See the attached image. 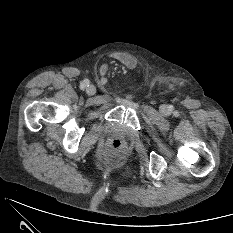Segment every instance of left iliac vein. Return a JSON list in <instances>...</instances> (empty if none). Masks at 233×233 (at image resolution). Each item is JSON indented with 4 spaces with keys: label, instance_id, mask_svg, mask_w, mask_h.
Returning a JSON list of instances; mask_svg holds the SVG:
<instances>
[{
    "label": "left iliac vein",
    "instance_id": "left-iliac-vein-1",
    "mask_svg": "<svg viewBox=\"0 0 233 233\" xmlns=\"http://www.w3.org/2000/svg\"><path fill=\"white\" fill-rule=\"evenodd\" d=\"M161 111H162L163 113H166V112H167V107L163 105V106L161 107Z\"/></svg>",
    "mask_w": 233,
    "mask_h": 233
}]
</instances>
